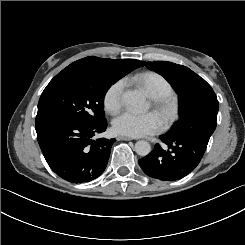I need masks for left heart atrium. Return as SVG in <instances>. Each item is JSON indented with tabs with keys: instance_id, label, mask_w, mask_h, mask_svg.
<instances>
[{
	"instance_id": "left-heart-atrium-1",
	"label": "left heart atrium",
	"mask_w": 245,
	"mask_h": 245,
	"mask_svg": "<svg viewBox=\"0 0 245 245\" xmlns=\"http://www.w3.org/2000/svg\"><path fill=\"white\" fill-rule=\"evenodd\" d=\"M114 131L128 137H141L160 130V121L153 113L124 112L113 122Z\"/></svg>"
}]
</instances>
